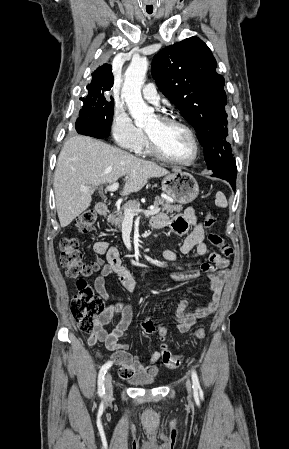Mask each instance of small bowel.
<instances>
[{
  "mask_svg": "<svg viewBox=\"0 0 289 449\" xmlns=\"http://www.w3.org/2000/svg\"><path fill=\"white\" fill-rule=\"evenodd\" d=\"M151 224L154 228L160 229L169 226L176 235H186L180 251L182 254H190L193 258H204L208 256L209 262L201 265L202 270L207 272L210 284L211 296L209 302L194 311L188 312V300L181 299L175 310L177 329L180 333L188 332L195 323L214 313L218 307L221 292L226 279L229 276V260L216 253H210L205 242V232L203 224L200 222L195 210L187 208L183 214H178L171 220L164 213H159L152 218ZM191 230L189 232V228ZM95 253L105 255L107 264L103 266L99 275L94 281L96 292L104 299H108L106 290V280L110 275H115L122 287L133 292L136 289V280L131 272L122 264L120 253L117 248L109 247L104 241H97L93 245ZM165 260L169 262L177 261V254L171 249H165L162 253ZM200 276V270L191 269L172 273L171 277L175 281H186ZM114 315H120V320L111 332H107L103 327ZM133 319V310L130 304L125 301H117L110 304L104 311L94 333L88 338V344L94 347L97 343L103 342L107 351L111 353L110 361L119 365L120 376L123 379H130L135 374L156 375L159 371L155 365L161 360V354L155 351L148 362H141L139 357L129 352V346L120 342V338L130 326Z\"/></svg>",
  "mask_w": 289,
  "mask_h": 449,
  "instance_id": "1",
  "label": "small bowel"
}]
</instances>
